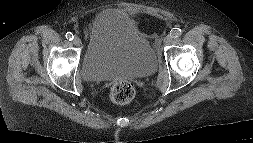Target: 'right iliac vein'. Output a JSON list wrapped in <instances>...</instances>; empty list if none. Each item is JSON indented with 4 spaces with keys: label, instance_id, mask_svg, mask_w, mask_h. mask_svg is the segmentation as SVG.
Returning <instances> with one entry per match:
<instances>
[{
    "label": "right iliac vein",
    "instance_id": "63e3f726",
    "mask_svg": "<svg viewBox=\"0 0 253 143\" xmlns=\"http://www.w3.org/2000/svg\"><path fill=\"white\" fill-rule=\"evenodd\" d=\"M81 39L79 38V37H74V39H73V44L75 45V46H80L81 45Z\"/></svg>",
    "mask_w": 253,
    "mask_h": 143
}]
</instances>
